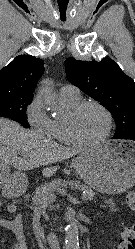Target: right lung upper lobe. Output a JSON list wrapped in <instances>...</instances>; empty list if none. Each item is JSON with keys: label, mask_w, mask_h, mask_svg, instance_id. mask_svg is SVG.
<instances>
[{"label": "right lung upper lobe", "mask_w": 135, "mask_h": 249, "mask_svg": "<svg viewBox=\"0 0 135 249\" xmlns=\"http://www.w3.org/2000/svg\"><path fill=\"white\" fill-rule=\"evenodd\" d=\"M43 60L31 55H19L0 70V94L32 96L44 67Z\"/></svg>", "instance_id": "right-lung-upper-lobe-1"}]
</instances>
